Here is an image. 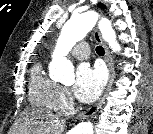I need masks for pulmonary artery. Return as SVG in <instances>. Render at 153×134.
I'll return each mask as SVG.
<instances>
[{"label":"pulmonary artery","instance_id":"pulmonary-artery-1","mask_svg":"<svg viewBox=\"0 0 153 134\" xmlns=\"http://www.w3.org/2000/svg\"><path fill=\"white\" fill-rule=\"evenodd\" d=\"M72 54L80 60L86 59L89 56V46L87 43L82 42L78 44L74 49L72 50Z\"/></svg>","mask_w":153,"mask_h":134}]
</instances>
